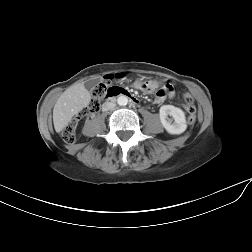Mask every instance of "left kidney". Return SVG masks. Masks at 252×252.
Returning <instances> with one entry per match:
<instances>
[{
  "mask_svg": "<svg viewBox=\"0 0 252 252\" xmlns=\"http://www.w3.org/2000/svg\"><path fill=\"white\" fill-rule=\"evenodd\" d=\"M168 115L174 120V123L168 119ZM160 121L162 126L170 134H181L186 128V119L183 110L173 105H163L159 110Z\"/></svg>",
  "mask_w": 252,
  "mask_h": 252,
  "instance_id": "obj_1",
  "label": "left kidney"
}]
</instances>
